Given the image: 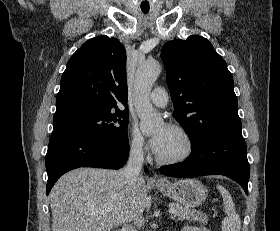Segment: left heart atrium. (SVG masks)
<instances>
[{"mask_svg": "<svg viewBox=\"0 0 280 231\" xmlns=\"http://www.w3.org/2000/svg\"><path fill=\"white\" fill-rule=\"evenodd\" d=\"M171 133V128L166 125L155 133L151 138V146L154 152L160 154L165 148Z\"/></svg>", "mask_w": 280, "mask_h": 231, "instance_id": "1", "label": "left heart atrium"}]
</instances>
